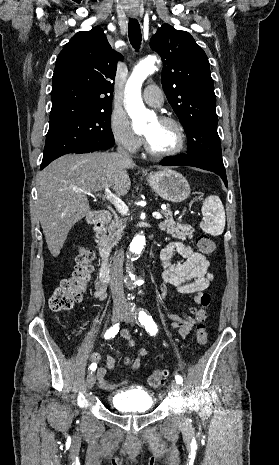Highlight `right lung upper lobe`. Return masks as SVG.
I'll return each mask as SVG.
<instances>
[{
    "instance_id": "cb5924a9",
    "label": "right lung upper lobe",
    "mask_w": 279,
    "mask_h": 465,
    "mask_svg": "<svg viewBox=\"0 0 279 465\" xmlns=\"http://www.w3.org/2000/svg\"><path fill=\"white\" fill-rule=\"evenodd\" d=\"M101 27L76 33L57 57L50 124L111 107L117 61Z\"/></svg>"
}]
</instances>
